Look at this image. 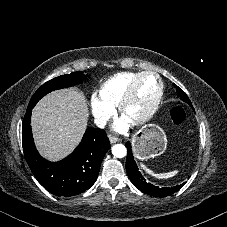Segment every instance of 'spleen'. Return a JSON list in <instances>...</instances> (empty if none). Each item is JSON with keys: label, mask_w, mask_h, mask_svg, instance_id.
Here are the masks:
<instances>
[{"label": "spleen", "mask_w": 227, "mask_h": 227, "mask_svg": "<svg viewBox=\"0 0 227 227\" xmlns=\"http://www.w3.org/2000/svg\"><path fill=\"white\" fill-rule=\"evenodd\" d=\"M139 167L141 169H143L146 173H148L149 175H152L158 179H167V178H170V177H173L175 176L178 171H171V172H167V173H159V174H156L154 173L153 171H151L150 169H148L144 164L142 163H139Z\"/></svg>", "instance_id": "obj_1"}]
</instances>
